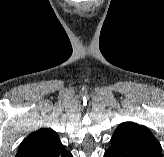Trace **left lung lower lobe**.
<instances>
[{"instance_id":"1","label":"left lung lower lobe","mask_w":164,"mask_h":157,"mask_svg":"<svg viewBox=\"0 0 164 157\" xmlns=\"http://www.w3.org/2000/svg\"><path fill=\"white\" fill-rule=\"evenodd\" d=\"M104 157H162L128 140L111 138V146Z\"/></svg>"}]
</instances>
